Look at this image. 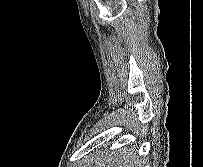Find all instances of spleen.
<instances>
[{"label": "spleen", "instance_id": "3e777b00", "mask_svg": "<svg viewBox=\"0 0 203 167\" xmlns=\"http://www.w3.org/2000/svg\"><path fill=\"white\" fill-rule=\"evenodd\" d=\"M123 158V159H122ZM118 158H115L114 156L108 158V160H103L99 163L98 167H115L112 166L114 163V165H116V167H133L132 163L133 161L131 160V158H129L128 156H119Z\"/></svg>", "mask_w": 203, "mask_h": 167}]
</instances>
